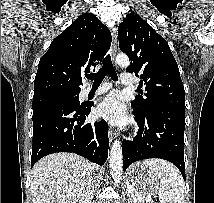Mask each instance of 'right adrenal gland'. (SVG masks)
Returning <instances> with one entry per match:
<instances>
[{"label": "right adrenal gland", "mask_w": 214, "mask_h": 203, "mask_svg": "<svg viewBox=\"0 0 214 203\" xmlns=\"http://www.w3.org/2000/svg\"><path fill=\"white\" fill-rule=\"evenodd\" d=\"M92 198H93V196H92ZM91 201H92V199L90 200V202H89V203H91Z\"/></svg>", "instance_id": "2a0ac1e0"}]
</instances>
